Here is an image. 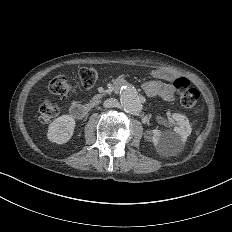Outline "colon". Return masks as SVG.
I'll return each mask as SVG.
<instances>
[{
	"label": "colon",
	"mask_w": 232,
	"mask_h": 232,
	"mask_svg": "<svg viewBox=\"0 0 232 232\" xmlns=\"http://www.w3.org/2000/svg\"><path fill=\"white\" fill-rule=\"evenodd\" d=\"M76 73H80L81 82L85 86L92 85L94 79L98 78L94 68H76ZM53 79H56V81L47 82L50 93L71 92L72 84H65V82L73 81V78L69 77V74H53ZM176 87L178 91H181V107H191V111H202V106H197L196 102L199 91L187 77H178ZM37 102L42 115L38 116V121H51V117H61V108L51 106V102H46L45 98H38Z\"/></svg>",
	"instance_id": "colon-1"
}]
</instances>
